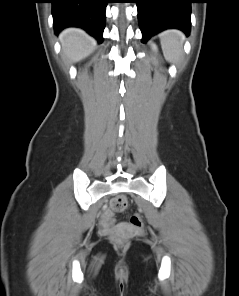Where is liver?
Returning a JSON list of instances; mask_svg holds the SVG:
<instances>
[{
    "label": "liver",
    "instance_id": "6515ba94",
    "mask_svg": "<svg viewBox=\"0 0 239 296\" xmlns=\"http://www.w3.org/2000/svg\"><path fill=\"white\" fill-rule=\"evenodd\" d=\"M60 41L64 55L72 62L85 59L96 48V41L78 28L65 29L60 34Z\"/></svg>",
    "mask_w": 239,
    "mask_h": 296
}]
</instances>
